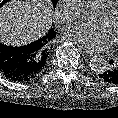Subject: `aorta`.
Returning a JSON list of instances; mask_svg holds the SVG:
<instances>
[{
	"label": "aorta",
	"instance_id": "762f6f07",
	"mask_svg": "<svg viewBox=\"0 0 118 118\" xmlns=\"http://www.w3.org/2000/svg\"><path fill=\"white\" fill-rule=\"evenodd\" d=\"M75 16L83 21H89L93 16V8L92 5L87 1H80L74 7ZM90 68L97 73H102L107 68V61L101 55L94 56L90 61Z\"/></svg>",
	"mask_w": 118,
	"mask_h": 118
}]
</instances>
